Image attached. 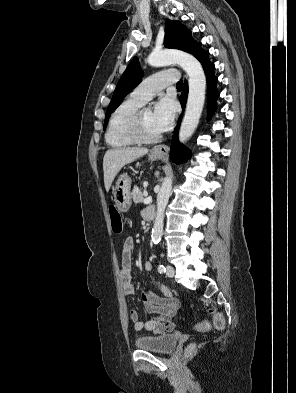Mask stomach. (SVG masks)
I'll use <instances>...</instances> for the list:
<instances>
[{"label": "stomach", "mask_w": 296, "mask_h": 393, "mask_svg": "<svg viewBox=\"0 0 296 393\" xmlns=\"http://www.w3.org/2000/svg\"><path fill=\"white\" fill-rule=\"evenodd\" d=\"M164 156L151 153L149 160L162 159ZM114 202L120 212H127L131 206V179L124 173L118 177L113 191Z\"/></svg>", "instance_id": "1"}]
</instances>
